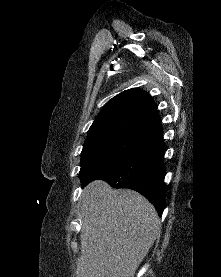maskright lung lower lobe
I'll return each instance as SVG.
<instances>
[{"label": "right lung lower lobe", "mask_w": 221, "mask_h": 277, "mask_svg": "<svg viewBox=\"0 0 221 277\" xmlns=\"http://www.w3.org/2000/svg\"><path fill=\"white\" fill-rule=\"evenodd\" d=\"M140 124L145 131L141 142L121 163L98 177L83 181L82 186L102 179L114 188L133 189L145 196L161 215L165 207V145L158 112L145 115Z\"/></svg>", "instance_id": "right-lung-lower-lobe-1"}]
</instances>
